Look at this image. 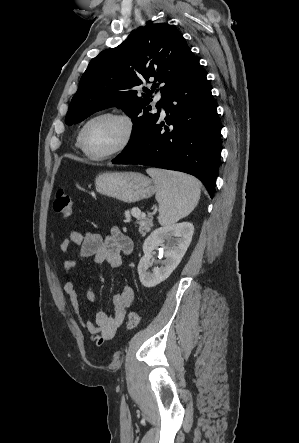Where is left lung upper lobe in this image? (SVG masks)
Instances as JSON below:
<instances>
[{
    "label": "left lung upper lobe",
    "mask_w": 299,
    "mask_h": 443,
    "mask_svg": "<svg viewBox=\"0 0 299 443\" xmlns=\"http://www.w3.org/2000/svg\"><path fill=\"white\" fill-rule=\"evenodd\" d=\"M199 63L183 35L166 23L148 24L119 46L104 50L89 63L66 115L67 125L77 124L91 114L116 106L132 118L136 142L159 117L151 113L152 92L159 85L163 99L169 90ZM154 80L151 90L138 88ZM125 148V149H126ZM124 149V150H125Z\"/></svg>",
    "instance_id": "1"
}]
</instances>
